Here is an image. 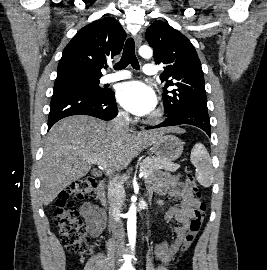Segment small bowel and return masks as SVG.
Listing matches in <instances>:
<instances>
[{"label": "small bowel", "instance_id": "1", "mask_svg": "<svg viewBox=\"0 0 267 270\" xmlns=\"http://www.w3.org/2000/svg\"><path fill=\"white\" fill-rule=\"evenodd\" d=\"M147 196H157V204L168 205L164 214L166 223L174 222L173 237L160 241L154 250L155 258L163 264H168L178 253L183 243L188 224L199 201L194 197L189 187L177 176L162 174L151 177L147 181ZM87 229L92 237H99L106 228V217L95 205L85 204L81 208Z\"/></svg>", "mask_w": 267, "mask_h": 270}]
</instances>
